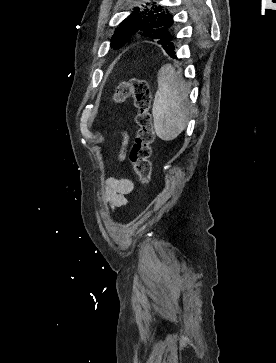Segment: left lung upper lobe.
Instances as JSON below:
<instances>
[{
	"instance_id": "obj_1",
	"label": "left lung upper lobe",
	"mask_w": 276,
	"mask_h": 363,
	"mask_svg": "<svg viewBox=\"0 0 276 363\" xmlns=\"http://www.w3.org/2000/svg\"><path fill=\"white\" fill-rule=\"evenodd\" d=\"M173 26V16L164 7L157 5L151 8L146 6L145 9L136 7L116 28L111 39V46L118 49L125 45L131 36L141 35L154 39L165 50L169 45H175Z\"/></svg>"
}]
</instances>
